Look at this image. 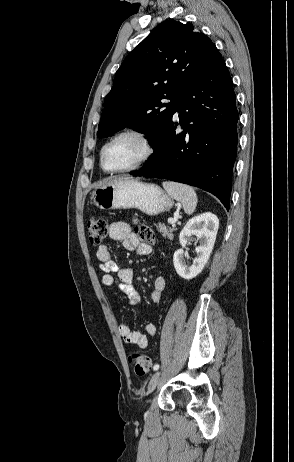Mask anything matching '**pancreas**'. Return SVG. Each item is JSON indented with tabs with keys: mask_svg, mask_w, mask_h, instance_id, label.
Wrapping results in <instances>:
<instances>
[{
	"mask_svg": "<svg viewBox=\"0 0 294 462\" xmlns=\"http://www.w3.org/2000/svg\"><path fill=\"white\" fill-rule=\"evenodd\" d=\"M157 230L162 233L163 237H167L170 240H173V232L176 230L171 227H166L165 224L159 223L156 226Z\"/></svg>",
	"mask_w": 294,
	"mask_h": 462,
	"instance_id": "cf45deb5",
	"label": "pancreas"
}]
</instances>
